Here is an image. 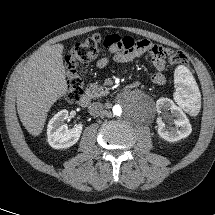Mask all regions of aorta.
<instances>
[{"label":"aorta","mask_w":215,"mask_h":215,"mask_svg":"<svg viewBox=\"0 0 215 215\" xmlns=\"http://www.w3.org/2000/svg\"><path fill=\"white\" fill-rule=\"evenodd\" d=\"M113 112L115 115H120L122 113V108L119 105L114 106Z\"/></svg>","instance_id":"1"}]
</instances>
